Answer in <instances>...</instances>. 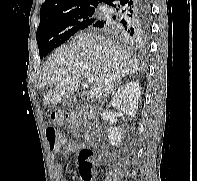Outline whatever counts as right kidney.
<instances>
[{
    "mask_svg": "<svg viewBox=\"0 0 197 181\" xmlns=\"http://www.w3.org/2000/svg\"><path fill=\"white\" fill-rule=\"evenodd\" d=\"M141 96V87L137 82H129L119 88L112 100V106L128 116L135 117ZM109 142L117 146L123 137V129L110 127L107 131Z\"/></svg>",
    "mask_w": 197,
    "mask_h": 181,
    "instance_id": "obj_1",
    "label": "right kidney"
}]
</instances>
